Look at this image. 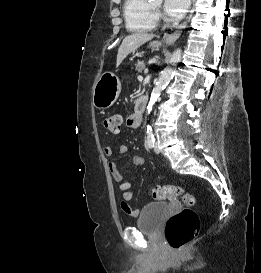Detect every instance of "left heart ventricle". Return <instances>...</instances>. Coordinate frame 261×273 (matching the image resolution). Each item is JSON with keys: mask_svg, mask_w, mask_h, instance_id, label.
<instances>
[{"mask_svg": "<svg viewBox=\"0 0 261 273\" xmlns=\"http://www.w3.org/2000/svg\"><path fill=\"white\" fill-rule=\"evenodd\" d=\"M153 6L159 8L161 6V2H154Z\"/></svg>", "mask_w": 261, "mask_h": 273, "instance_id": "b2bd125f", "label": "left heart ventricle"}]
</instances>
